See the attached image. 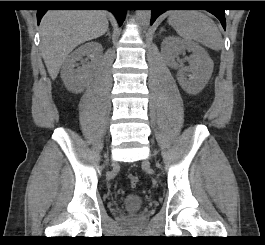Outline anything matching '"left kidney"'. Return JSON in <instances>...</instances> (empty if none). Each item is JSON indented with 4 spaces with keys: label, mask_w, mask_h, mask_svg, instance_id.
<instances>
[{
    "label": "left kidney",
    "mask_w": 265,
    "mask_h": 245,
    "mask_svg": "<svg viewBox=\"0 0 265 245\" xmlns=\"http://www.w3.org/2000/svg\"><path fill=\"white\" fill-rule=\"evenodd\" d=\"M185 50L192 52L190 65L179 68L177 80L187 93L196 95L203 90L210 79L214 64L204 48L194 42L169 36L163 40L161 45V52L166 62L173 68L179 67L176 58Z\"/></svg>",
    "instance_id": "1"
}]
</instances>
